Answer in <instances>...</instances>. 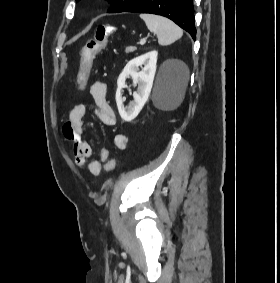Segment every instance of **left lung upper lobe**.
<instances>
[{
  "label": "left lung upper lobe",
  "mask_w": 280,
  "mask_h": 283,
  "mask_svg": "<svg viewBox=\"0 0 280 283\" xmlns=\"http://www.w3.org/2000/svg\"><path fill=\"white\" fill-rule=\"evenodd\" d=\"M79 1V0H77ZM112 6L108 9V13H118V12H124L131 6H133L135 3H137L139 0H106Z\"/></svg>",
  "instance_id": "5c2ea615"
}]
</instances>
